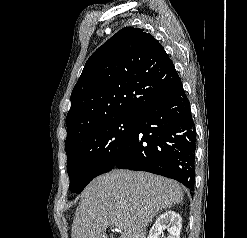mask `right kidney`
I'll return each instance as SVG.
<instances>
[{
  "label": "right kidney",
  "instance_id": "ca27d5eb",
  "mask_svg": "<svg viewBox=\"0 0 247 238\" xmlns=\"http://www.w3.org/2000/svg\"><path fill=\"white\" fill-rule=\"evenodd\" d=\"M164 230L168 231V238H180L181 216L171 210L161 214L150 229L147 238H158Z\"/></svg>",
  "mask_w": 247,
  "mask_h": 238
}]
</instances>
